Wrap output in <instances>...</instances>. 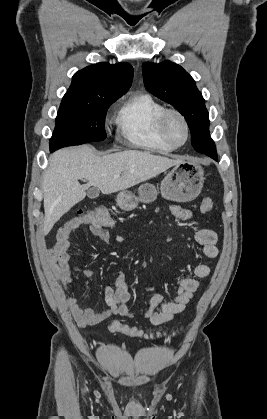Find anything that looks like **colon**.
Returning a JSON list of instances; mask_svg holds the SVG:
<instances>
[{
	"label": "colon",
	"instance_id": "colon-1",
	"mask_svg": "<svg viewBox=\"0 0 267 419\" xmlns=\"http://www.w3.org/2000/svg\"><path fill=\"white\" fill-rule=\"evenodd\" d=\"M213 207V200L210 198H205L202 201L201 204V211L203 213L209 212ZM91 214L100 222L101 225H103L105 228H112L115 225V221L113 217L110 215V213L104 209V208H94L89 209L85 212H81L80 215H87ZM108 328L112 332L122 333L128 336L132 337H140V338H148L149 336L144 334L141 330L128 326L126 324L112 321L109 323ZM175 334H172L171 336H174ZM163 336V335H160ZM165 336V335H164Z\"/></svg>",
	"mask_w": 267,
	"mask_h": 419
}]
</instances>
